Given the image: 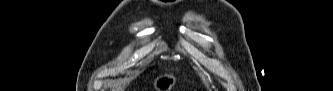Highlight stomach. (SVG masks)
<instances>
[{"mask_svg": "<svg viewBox=\"0 0 333 91\" xmlns=\"http://www.w3.org/2000/svg\"><path fill=\"white\" fill-rule=\"evenodd\" d=\"M176 82L177 79L172 73H164L155 78L153 88L155 91H171Z\"/></svg>", "mask_w": 333, "mask_h": 91, "instance_id": "0dacf381", "label": "stomach"}]
</instances>
